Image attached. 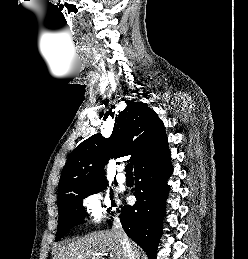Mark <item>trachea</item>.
Here are the masks:
<instances>
[{
  "mask_svg": "<svg viewBox=\"0 0 248 259\" xmlns=\"http://www.w3.org/2000/svg\"><path fill=\"white\" fill-rule=\"evenodd\" d=\"M132 170H133V165L131 163L126 165V174L127 175H132Z\"/></svg>",
  "mask_w": 248,
  "mask_h": 259,
  "instance_id": "obj_1",
  "label": "trachea"
}]
</instances>
